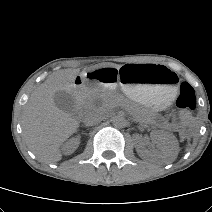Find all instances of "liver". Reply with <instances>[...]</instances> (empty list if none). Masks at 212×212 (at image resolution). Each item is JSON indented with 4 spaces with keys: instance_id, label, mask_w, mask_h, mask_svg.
<instances>
[{
    "instance_id": "obj_1",
    "label": "liver",
    "mask_w": 212,
    "mask_h": 212,
    "mask_svg": "<svg viewBox=\"0 0 212 212\" xmlns=\"http://www.w3.org/2000/svg\"><path fill=\"white\" fill-rule=\"evenodd\" d=\"M78 73V69L53 73L32 92L24 107L22 128L25 142L44 163H54L61 159V144L79 127V121L61 111L54 102L56 92H74L73 83Z\"/></svg>"
}]
</instances>
